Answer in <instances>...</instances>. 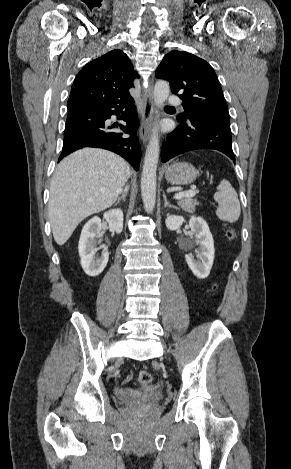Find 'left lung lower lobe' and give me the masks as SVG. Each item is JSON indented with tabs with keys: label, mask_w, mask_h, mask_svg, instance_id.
<instances>
[{
	"label": "left lung lower lobe",
	"mask_w": 291,
	"mask_h": 469,
	"mask_svg": "<svg viewBox=\"0 0 291 469\" xmlns=\"http://www.w3.org/2000/svg\"><path fill=\"white\" fill-rule=\"evenodd\" d=\"M195 149H215L235 161L231 144L230 124L200 116L180 123L162 144L161 160Z\"/></svg>",
	"instance_id": "obj_1"
}]
</instances>
